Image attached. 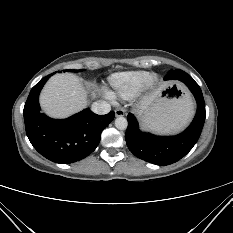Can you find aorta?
I'll return each mask as SVG.
<instances>
[{
	"label": "aorta",
	"instance_id": "aorta-1",
	"mask_svg": "<svg viewBox=\"0 0 233 233\" xmlns=\"http://www.w3.org/2000/svg\"><path fill=\"white\" fill-rule=\"evenodd\" d=\"M115 126L119 130H125L128 126L127 119L120 116L115 119Z\"/></svg>",
	"mask_w": 233,
	"mask_h": 233
}]
</instances>
